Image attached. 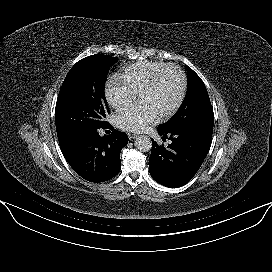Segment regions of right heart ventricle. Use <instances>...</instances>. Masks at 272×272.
Listing matches in <instances>:
<instances>
[{"instance_id":"e07e8e85","label":"right heart ventricle","mask_w":272,"mask_h":272,"mask_svg":"<svg viewBox=\"0 0 272 272\" xmlns=\"http://www.w3.org/2000/svg\"><path fill=\"white\" fill-rule=\"evenodd\" d=\"M165 65L167 64L162 61H137L124 67L120 78L135 94H139L155 73Z\"/></svg>"}]
</instances>
